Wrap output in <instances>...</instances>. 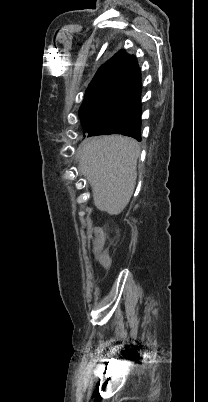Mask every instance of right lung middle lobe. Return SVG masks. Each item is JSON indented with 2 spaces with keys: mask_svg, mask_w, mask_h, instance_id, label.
Returning <instances> with one entry per match:
<instances>
[{
  "mask_svg": "<svg viewBox=\"0 0 208 402\" xmlns=\"http://www.w3.org/2000/svg\"><path fill=\"white\" fill-rule=\"evenodd\" d=\"M121 94L112 87L102 89L97 93H88L80 108V116L83 123L97 117L112 118L116 120L122 109L123 100ZM86 132H89L85 129Z\"/></svg>",
  "mask_w": 208,
  "mask_h": 402,
  "instance_id": "1",
  "label": "right lung middle lobe"
}]
</instances>
